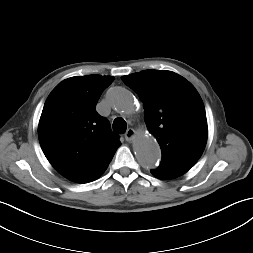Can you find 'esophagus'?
Returning a JSON list of instances; mask_svg holds the SVG:
<instances>
[{
    "label": "esophagus",
    "mask_w": 253,
    "mask_h": 253,
    "mask_svg": "<svg viewBox=\"0 0 253 253\" xmlns=\"http://www.w3.org/2000/svg\"><path fill=\"white\" fill-rule=\"evenodd\" d=\"M134 137H135V130L132 128H128L125 133V139L127 141H131V140H133Z\"/></svg>",
    "instance_id": "1"
}]
</instances>
